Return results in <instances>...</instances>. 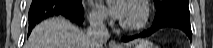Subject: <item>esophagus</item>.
<instances>
[{"label":"esophagus","instance_id":"34e87169","mask_svg":"<svg viewBox=\"0 0 213 48\" xmlns=\"http://www.w3.org/2000/svg\"><path fill=\"white\" fill-rule=\"evenodd\" d=\"M109 45H110L111 48H117L118 47L115 41H111L109 43Z\"/></svg>","mask_w":213,"mask_h":48}]
</instances>
